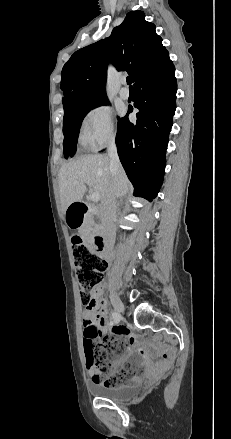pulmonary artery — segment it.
Listing matches in <instances>:
<instances>
[{
  "instance_id": "1",
  "label": "pulmonary artery",
  "mask_w": 231,
  "mask_h": 439,
  "mask_svg": "<svg viewBox=\"0 0 231 439\" xmlns=\"http://www.w3.org/2000/svg\"><path fill=\"white\" fill-rule=\"evenodd\" d=\"M123 84H125V82H123ZM119 95L124 100L129 98L130 92H129L128 88L125 85H123V87L120 89Z\"/></svg>"
}]
</instances>
